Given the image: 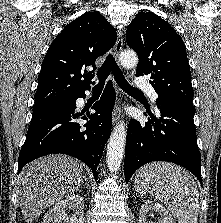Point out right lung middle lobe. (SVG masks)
<instances>
[{
	"label": "right lung middle lobe",
	"instance_id": "dd1d6c3e",
	"mask_svg": "<svg viewBox=\"0 0 221 223\" xmlns=\"http://www.w3.org/2000/svg\"><path fill=\"white\" fill-rule=\"evenodd\" d=\"M69 101L70 100H64V101L54 102V103H50V104L35 105L34 108H33V111L44 110V109H47V108H49L51 106L62 104V103H66V102H69Z\"/></svg>",
	"mask_w": 221,
	"mask_h": 223
}]
</instances>
